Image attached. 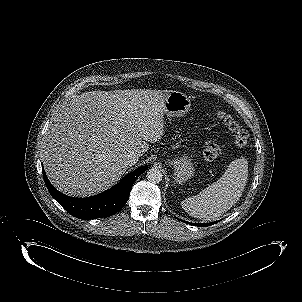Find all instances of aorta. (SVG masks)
<instances>
[{"label":"aorta","mask_w":302,"mask_h":302,"mask_svg":"<svg viewBox=\"0 0 302 302\" xmlns=\"http://www.w3.org/2000/svg\"><path fill=\"white\" fill-rule=\"evenodd\" d=\"M146 177L151 183H159L162 181L163 174L158 168H151L147 171Z\"/></svg>","instance_id":"1"}]
</instances>
